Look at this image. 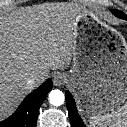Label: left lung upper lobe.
<instances>
[{"label": "left lung upper lobe", "mask_w": 127, "mask_h": 127, "mask_svg": "<svg viewBox=\"0 0 127 127\" xmlns=\"http://www.w3.org/2000/svg\"><path fill=\"white\" fill-rule=\"evenodd\" d=\"M112 12L115 14V16L127 20V16L123 12L119 10H112Z\"/></svg>", "instance_id": "5c2ea615"}]
</instances>
